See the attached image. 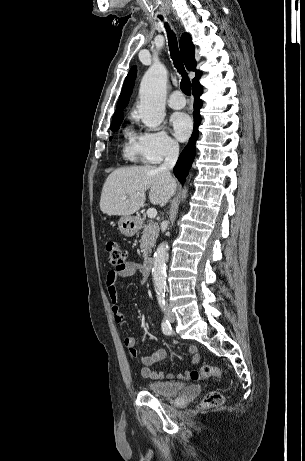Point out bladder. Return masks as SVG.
Masks as SVG:
<instances>
[{"mask_svg": "<svg viewBox=\"0 0 305 461\" xmlns=\"http://www.w3.org/2000/svg\"><path fill=\"white\" fill-rule=\"evenodd\" d=\"M146 388L152 394L169 397L181 393L186 388V384L178 381H149Z\"/></svg>", "mask_w": 305, "mask_h": 461, "instance_id": "bladder-1", "label": "bladder"}]
</instances>
